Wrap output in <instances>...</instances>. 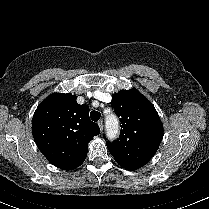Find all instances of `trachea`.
Instances as JSON below:
<instances>
[{
  "mask_svg": "<svg viewBox=\"0 0 209 209\" xmlns=\"http://www.w3.org/2000/svg\"><path fill=\"white\" fill-rule=\"evenodd\" d=\"M100 117H101V114H100V112L99 111H95V110H93V111H91V113H90V118L93 120V121H98L99 119H100Z\"/></svg>",
  "mask_w": 209,
  "mask_h": 209,
  "instance_id": "trachea-1",
  "label": "trachea"
}]
</instances>
